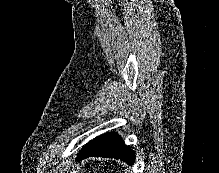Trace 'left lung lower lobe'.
<instances>
[{"instance_id": "1", "label": "left lung lower lobe", "mask_w": 219, "mask_h": 173, "mask_svg": "<svg viewBox=\"0 0 219 173\" xmlns=\"http://www.w3.org/2000/svg\"><path fill=\"white\" fill-rule=\"evenodd\" d=\"M91 156L121 159L130 165L135 161L134 151L114 132L103 134L83 146L77 155V160Z\"/></svg>"}]
</instances>
